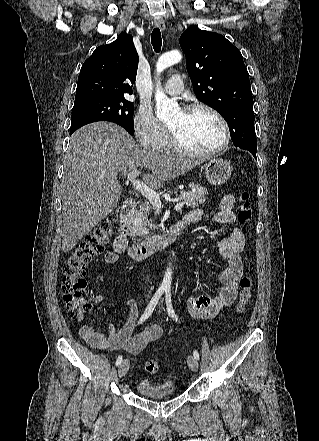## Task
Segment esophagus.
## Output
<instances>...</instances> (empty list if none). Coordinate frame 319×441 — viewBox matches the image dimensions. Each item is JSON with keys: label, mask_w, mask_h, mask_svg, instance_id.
<instances>
[{"label": "esophagus", "mask_w": 319, "mask_h": 441, "mask_svg": "<svg viewBox=\"0 0 319 441\" xmlns=\"http://www.w3.org/2000/svg\"><path fill=\"white\" fill-rule=\"evenodd\" d=\"M154 25H155V27L160 28L161 31L165 30V23H164L163 20H160V19L159 20H155L154 21Z\"/></svg>", "instance_id": "34e87169"}]
</instances>
